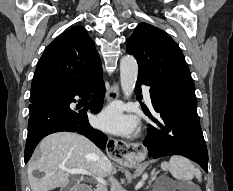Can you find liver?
Here are the masks:
<instances>
[{
    "instance_id": "1",
    "label": "liver",
    "mask_w": 233,
    "mask_h": 191,
    "mask_svg": "<svg viewBox=\"0 0 233 191\" xmlns=\"http://www.w3.org/2000/svg\"><path fill=\"white\" fill-rule=\"evenodd\" d=\"M104 156L86 137L72 132H57L42 139L39 151L27 167L28 179L32 191H50L65 187L69 183L68 175L59 168L63 165L70 169H84L98 177L105 176L99 166V159ZM38 170L41 178L33 175ZM112 173H116L113 168Z\"/></svg>"
}]
</instances>
